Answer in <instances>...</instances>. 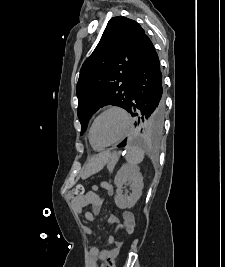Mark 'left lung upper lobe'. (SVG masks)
I'll return each instance as SVG.
<instances>
[{
  "label": "left lung upper lobe",
  "instance_id": "5c2ea615",
  "mask_svg": "<svg viewBox=\"0 0 225 267\" xmlns=\"http://www.w3.org/2000/svg\"><path fill=\"white\" fill-rule=\"evenodd\" d=\"M146 37L134 20L123 16L109 20L97 47L80 70L77 113L81 134L92 114L105 105L128 111L134 73ZM136 126L142 134L155 136L161 133L163 124L158 126L148 116Z\"/></svg>",
  "mask_w": 225,
  "mask_h": 267
}]
</instances>
